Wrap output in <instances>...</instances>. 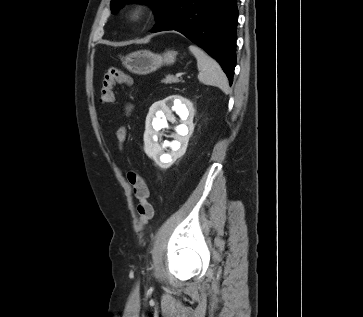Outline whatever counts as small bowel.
<instances>
[{"label":"small bowel","instance_id":"small-bowel-1","mask_svg":"<svg viewBox=\"0 0 363 317\" xmlns=\"http://www.w3.org/2000/svg\"><path fill=\"white\" fill-rule=\"evenodd\" d=\"M128 109H130V107ZM126 136H127V131L125 128H119L117 130L116 137L120 146H122V144L124 143Z\"/></svg>","mask_w":363,"mask_h":317}]
</instances>
